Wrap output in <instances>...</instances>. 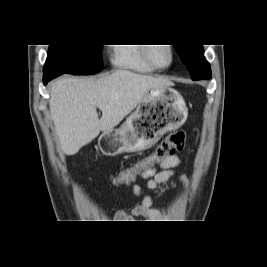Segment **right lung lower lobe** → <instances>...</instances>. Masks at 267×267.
<instances>
[{
	"instance_id": "obj_1",
	"label": "right lung lower lobe",
	"mask_w": 267,
	"mask_h": 267,
	"mask_svg": "<svg viewBox=\"0 0 267 267\" xmlns=\"http://www.w3.org/2000/svg\"><path fill=\"white\" fill-rule=\"evenodd\" d=\"M60 73H45L43 77V82L46 85L50 80L60 76Z\"/></svg>"
}]
</instances>
